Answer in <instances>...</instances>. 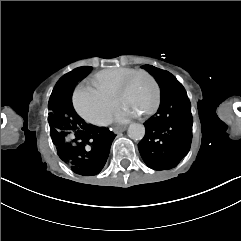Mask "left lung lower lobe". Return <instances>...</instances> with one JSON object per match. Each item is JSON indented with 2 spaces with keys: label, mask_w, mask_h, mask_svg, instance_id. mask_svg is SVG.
<instances>
[{
  "label": "left lung lower lobe",
  "mask_w": 241,
  "mask_h": 241,
  "mask_svg": "<svg viewBox=\"0 0 241 241\" xmlns=\"http://www.w3.org/2000/svg\"><path fill=\"white\" fill-rule=\"evenodd\" d=\"M191 105L183 87L161 95L157 113L145 123L146 135L138 144L145 164L154 170L175 167L187 154L192 137Z\"/></svg>",
  "instance_id": "left-lung-lower-lobe-1"
}]
</instances>
